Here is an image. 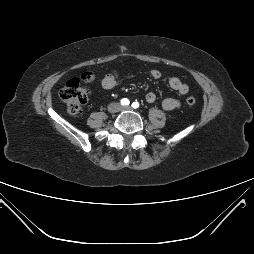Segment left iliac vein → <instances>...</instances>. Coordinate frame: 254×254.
I'll return each mask as SVG.
<instances>
[{
	"instance_id": "4c4485c4",
	"label": "left iliac vein",
	"mask_w": 254,
	"mask_h": 254,
	"mask_svg": "<svg viewBox=\"0 0 254 254\" xmlns=\"http://www.w3.org/2000/svg\"><path fill=\"white\" fill-rule=\"evenodd\" d=\"M131 107L130 106H124V107H120V110H130Z\"/></svg>"
}]
</instances>
